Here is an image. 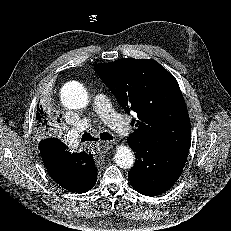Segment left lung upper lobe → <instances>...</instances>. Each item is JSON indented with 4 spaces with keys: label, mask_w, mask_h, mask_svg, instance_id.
I'll use <instances>...</instances> for the list:
<instances>
[{
    "label": "left lung upper lobe",
    "mask_w": 231,
    "mask_h": 231,
    "mask_svg": "<svg viewBox=\"0 0 231 231\" xmlns=\"http://www.w3.org/2000/svg\"><path fill=\"white\" fill-rule=\"evenodd\" d=\"M100 79L128 113L138 119L128 143L151 145L174 154H188L190 119L175 77L155 60L121 58L94 67Z\"/></svg>",
    "instance_id": "obj_1"
}]
</instances>
